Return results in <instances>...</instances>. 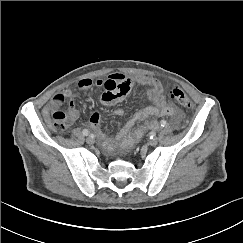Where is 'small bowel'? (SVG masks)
I'll return each instance as SVG.
<instances>
[{
    "label": "small bowel",
    "instance_id": "small-bowel-1",
    "mask_svg": "<svg viewBox=\"0 0 243 243\" xmlns=\"http://www.w3.org/2000/svg\"><path fill=\"white\" fill-rule=\"evenodd\" d=\"M135 84L147 88V98L151 105L136 111L120 129L114 140H110L103 132L100 124L101 115L99 110L95 109L90 114L89 124L99 136L103 146L108 150H112L118 145L130 146L136 143L146 130L157 129L158 127L156 121H149L131 132V129L137 121H146L150 117L169 116L175 120L180 117L179 111L173 105L166 102L161 83L151 76L139 75L127 77L121 73H113L108 78L97 79L95 81L89 78L81 79L77 83V87L81 91H88L93 86L102 88L103 93L101 95V103L106 106H111L123 101ZM67 98L69 99L67 117L69 125L72 124L78 119L79 112L75 106L77 97L69 89L56 94L51 102L45 107L44 113L47 115L58 109L63 105ZM114 114L116 116H122L124 111L121 108H118L114 111Z\"/></svg>",
    "mask_w": 243,
    "mask_h": 243
}]
</instances>
